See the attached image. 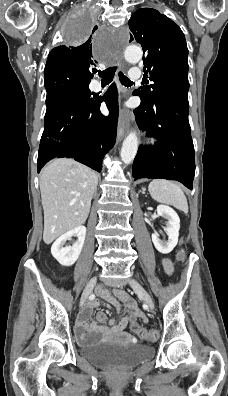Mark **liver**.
<instances>
[{"mask_svg":"<svg viewBox=\"0 0 228 396\" xmlns=\"http://www.w3.org/2000/svg\"><path fill=\"white\" fill-rule=\"evenodd\" d=\"M97 185V174L73 159H55L43 169L40 191L45 244L85 223Z\"/></svg>","mask_w":228,"mask_h":396,"instance_id":"obj_1","label":"liver"}]
</instances>
